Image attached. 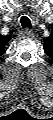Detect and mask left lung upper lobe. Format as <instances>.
<instances>
[{
    "label": "left lung upper lobe",
    "mask_w": 53,
    "mask_h": 120,
    "mask_svg": "<svg viewBox=\"0 0 53 120\" xmlns=\"http://www.w3.org/2000/svg\"><path fill=\"white\" fill-rule=\"evenodd\" d=\"M44 47L46 53L51 57V54L53 53V41L51 38L44 40Z\"/></svg>",
    "instance_id": "1"
}]
</instances>
